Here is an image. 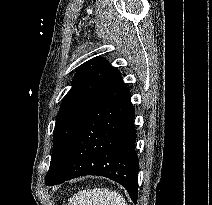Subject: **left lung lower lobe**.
Listing matches in <instances>:
<instances>
[{
  "mask_svg": "<svg viewBox=\"0 0 212 205\" xmlns=\"http://www.w3.org/2000/svg\"><path fill=\"white\" fill-rule=\"evenodd\" d=\"M130 97L118 72L81 123L51 185L83 175L104 176L123 185L136 203L139 161L135 152V117Z\"/></svg>",
  "mask_w": 212,
  "mask_h": 205,
  "instance_id": "left-lung-lower-lobe-1",
  "label": "left lung lower lobe"
}]
</instances>
